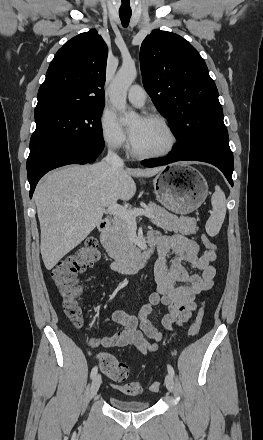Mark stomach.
I'll use <instances>...</instances> for the list:
<instances>
[{
	"mask_svg": "<svg viewBox=\"0 0 263 440\" xmlns=\"http://www.w3.org/2000/svg\"><path fill=\"white\" fill-rule=\"evenodd\" d=\"M157 200L168 210L185 215L198 209L208 195L203 175L190 166H174L153 180Z\"/></svg>",
	"mask_w": 263,
	"mask_h": 440,
	"instance_id": "1",
	"label": "stomach"
}]
</instances>
